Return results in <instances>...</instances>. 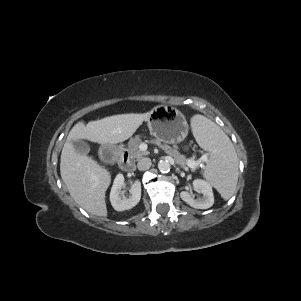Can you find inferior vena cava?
<instances>
[{
    "mask_svg": "<svg viewBox=\"0 0 301 301\" xmlns=\"http://www.w3.org/2000/svg\"><path fill=\"white\" fill-rule=\"evenodd\" d=\"M137 167L140 171L149 169L151 167V159L148 157L140 159L138 161Z\"/></svg>",
    "mask_w": 301,
    "mask_h": 301,
    "instance_id": "obj_1",
    "label": "inferior vena cava"
}]
</instances>
